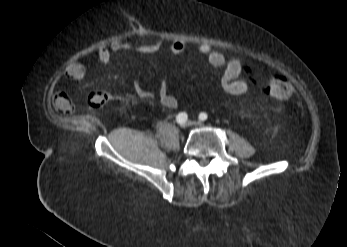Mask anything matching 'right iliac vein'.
I'll list each match as a JSON object with an SVG mask.
<instances>
[{
  "instance_id": "right-iliac-vein-1",
  "label": "right iliac vein",
  "mask_w": 347,
  "mask_h": 247,
  "mask_svg": "<svg viewBox=\"0 0 347 247\" xmlns=\"http://www.w3.org/2000/svg\"><path fill=\"white\" fill-rule=\"evenodd\" d=\"M189 127V123H183L181 124V128L186 129Z\"/></svg>"
}]
</instances>
